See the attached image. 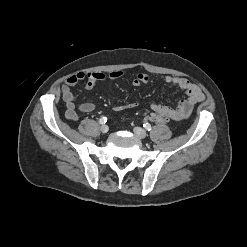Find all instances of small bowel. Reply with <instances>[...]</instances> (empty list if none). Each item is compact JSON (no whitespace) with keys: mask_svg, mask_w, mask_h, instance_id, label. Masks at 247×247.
<instances>
[{"mask_svg":"<svg viewBox=\"0 0 247 247\" xmlns=\"http://www.w3.org/2000/svg\"><path fill=\"white\" fill-rule=\"evenodd\" d=\"M123 76L124 72L119 70L108 74L101 72H78L69 76L61 87L62 98L66 106V118L69 120H77L78 112L89 113L94 111L96 108L95 104L92 102H85L78 106L75 104V95L72 92V87H74L77 83L84 81L86 88L92 89L99 81H104L107 79H120ZM164 81L169 85L177 86L182 89L187 95V98L180 101L175 108L161 104H152V110L158 114L164 115L168 119L175 121L188 118L192 113L194 106L203 100L204 95L202 90L191 80L183 77L165 76ZM149 82L150 77L147 74L139 73L133 78L132 85L135 87H140ZM137 105L138 104L136 102H130L122 105H116L113 107V110L119 112L125 109L135 108Z\"/></svg>","mask_w":247,"mask_h":247,"instance_id":"small-bowel-1","label":"small bowel"}]
</instances>
